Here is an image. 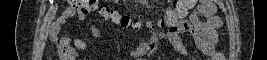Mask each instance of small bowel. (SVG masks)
Listing matches in <instances>:
<instances>
[{"label": "small bowel", "mask_w": 267, "mask_h": 60, "mask_svg": "<svg viewBox=\"0 0 267 60\" xmlns=\"http://www.w3.org/2000/svg\"><path fill=\"white\" fill-rule=\"evenodd\" d=\"M76 15L80 20L86 17L84 13L76 8V5L70 4L64 10L61 20L55 23L53 34L56 36L59 33L63 21ZM203 17L206 20H202ZM221 25L222 20L216 15L214 1L190 0L189 8L176 25L172 26L167 32H155L148 37H144L140 46L132 50L131 54L134 58L140 59L143 54H153L160 42L167 41L186 59L198 60L199 57L190 52L182 40L181 35L188 34L198 51L205 55L207 59L223 60V54L216 50L219 40L218 29ZM89 30L93 37H98L100 34L96 27H90ZM87 46V41L82 37H75L72 40V45L69 37H63L57 43L58 51L65 57L77 51H83Z\"/></svg>", "instance_id": "c3829d8e"}]
</instances>
